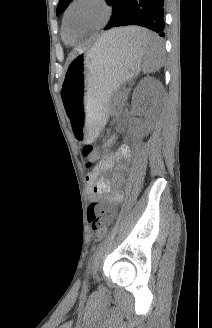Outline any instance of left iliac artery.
<instances>
[{
    "mask_svg": "<svg viewBox=\"0 0 212 328\" xmlns=\"http://www.w3.org/2000/svg\"><path fill=\"white\" fill-rule=\"evenodd\" d=\"M88 273H89V269L87 270V275H88Z\"/></svg>",
    "mask_w": 212,
    "mask_h": 328,
    "instance_id": "left-iliac-artery-1",
    "label": "left iliac artery"
}]
</instances>
